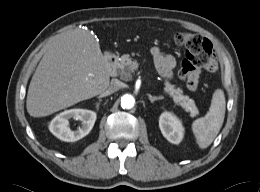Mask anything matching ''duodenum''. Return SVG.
Returning <instances> with one entry per match:
<instances>
[{"mask_svg":"<svg viewBox=\"0 0 260 192\" xmlns=\"http://www.w3.org/2000/svg\"><path fill=\"white\" fill-rule=\"evenodd\" d=\"M117 65V58L113 55H109L106 58V69L108 73L113 74Z\"/></svg>","mask_w":260,"mask_h":192,"instance_id":"410a0bca","label":"duodenum"}]
</instances>
